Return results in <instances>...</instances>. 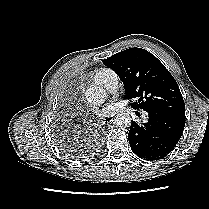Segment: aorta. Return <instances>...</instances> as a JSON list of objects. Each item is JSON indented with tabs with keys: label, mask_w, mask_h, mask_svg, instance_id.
<instances>
[{
	"label": "aorta",
	"mask_w": 209,
	"mask_h": 209,
	"mask_svg": "<svg viewBox=\"0 0 209 209\" xmlns=\"http://www.w3.org/2000/svg\"><path fill=\"white\" fill-rule=\"evenodd\" d=\"M85 97L89 103L100 105L105 101L107 93L101 87L92 86L86 90ZM114 123L121 128L129 127L131 125V117L127 113H120L115 118Z\"/></svg>",
	"instance_id": "obj_1"
}]
</instances>
